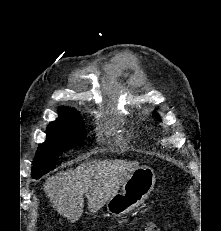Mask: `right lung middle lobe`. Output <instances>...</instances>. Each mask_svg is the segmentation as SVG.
Here are the masks:
<instances>
[{"mask_svg": "<svg viewBox=\"0 0 221 231\" xmlns=\"http://www.w3.org/2000/svg\"><path fill=\"white\" fill-rule=\"evenodd\" d=\"M47 140L38 147L32 173L45 174L53 169L60 153L78 146L85 138L83 121L79 117H59L47 127Z\"/></svg>", "mask_w": 221, "mask_h": 231, "instance_id": "1", "label": "right lung middle lobe"}]
</instances>
